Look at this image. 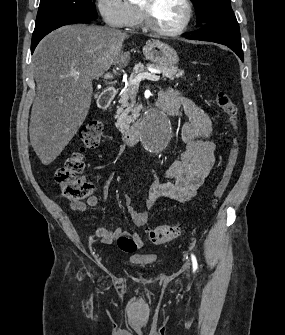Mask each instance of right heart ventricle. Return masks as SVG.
Returning a JSON list of instances; mask_svg holds the SVG:
<instances>
[{
	"instance_id": "obj_1",
	"label": "right heart ventricle",
	"mask_w": 285,
	"mask_h": 335,
	"mask_svg": "<svg viewBox=\"0 0 285 335\" xmlns=\"http://www.w3.org/2000/svg\"><path fill=\"white\" fill-rule=\"evenodd\" d=\"M136 11V16L131 23L132 26H139L141 24V13H140V2L139 1H133L131 3ZM165 60H170L169 58H166Z\"/></svg>"
}]
</instances>
